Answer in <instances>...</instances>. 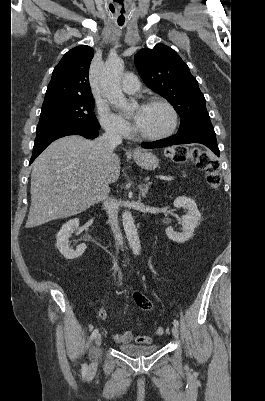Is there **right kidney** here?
I'll use <instances>...</instances> for the list:
<instances>
[{"label":"right kidney","instance_id":"ca27d5eb","mask_svg":"<svg viewBox=\"0 0 265 401\" xmlns=\"http://www.w3.org/2000/svg\"><path fill=\"white\" fill-rule=\"evenodd\" d=\"M77 227H79V219H72V221L64 223L63 227H61L59 233L56 235V247L59 249L61 255L65 257V259H78V257L83 255L86 249L85 243L78 245L76 251H73V249H70L69 247V239Z\"/></svg>","mask_w":265,"mask_h":401}]
</instances>
